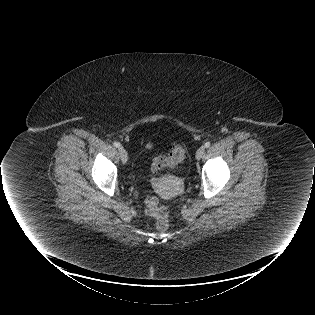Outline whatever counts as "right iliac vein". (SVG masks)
<instances>
[{
    "label": "right iliac vein",
    "instance_id": "63e3f726",
    "mask_svg": "<svg viewBox=\"0 0 315 315\" xmlns=\"http://www.w3.org/2000/svg\"><path fill=\"white\" fill-rule=\"evenodd\" d=\"M119 155H120L122 162L126 163L128 160V154L123 147L119 148Z\"/></svg>",
    "mask_w": 315,
    "mask_h": 315
}]
</instances>
